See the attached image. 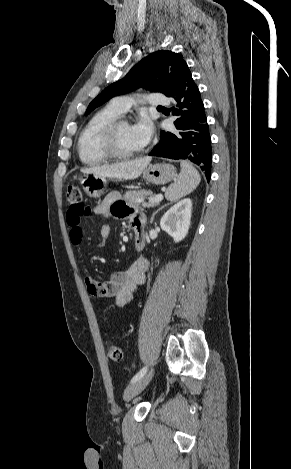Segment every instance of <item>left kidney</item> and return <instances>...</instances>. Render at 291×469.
I'll use <instances>...</instances> for the list:
<instances>
[{"label":"left kidney","instance_id":"1","mask_svg":"<svg viewBox=\"0 0 291 469\" xmlns=\"http://www.w3.org/2000/svg\"><path fill=\"white\" fill-rule=\"evenodd\" d=\"M192 202L189 198L173 205L161 218L160 226L177 243L188 234L191 222Z\"/></svg>","mask_w":291,"mask_h":469}]
</instances>
